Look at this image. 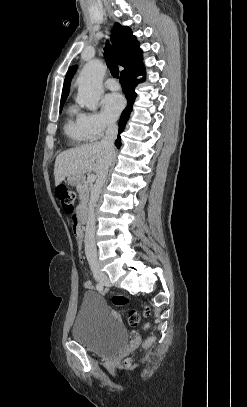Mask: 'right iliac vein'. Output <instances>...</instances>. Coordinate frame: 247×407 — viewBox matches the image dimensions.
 I'll list each match as a JSON object with an SVG mask.
<instances>
[{
    "instance_id": "right-iliac-vein-1",
    "label": "right iliac vein",
    "mask_w": 247,
    "mask_h": 407,
    "mask_svg": "<svg viewBox=\"0 0 247 407\" xmlns=\"http://www.w3.org/2000/svg\"><path fill=\"white\" fill-rule=\"evenodd\" d=\"M93 275L95 277V279L101 283L102 285H106L109 286L110 285V281L109 278L107 277V275L101 270L100 266L98 264H94L91 266Z\"/></svg>"
}]
</instances>
